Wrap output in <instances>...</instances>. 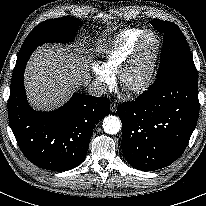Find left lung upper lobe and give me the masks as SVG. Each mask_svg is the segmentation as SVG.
<instances>
[{"label": "left lung upper lobe", "mask_w": 206, "mask_h": 206, "mask_svg": "<svg viewBox=\"0 0 206 206\" xmlns=\"http://www.w3.org/2000/svg\"><path fill=\"white\" fill-rule=\"evenodd\" d=\"M152 25L164 33V41L157 79L150 88L174 78L197 79L192 53L181 30L173 23L158 19H154Z\"/></svg>", "instance_id": "1"}]
</instances>
